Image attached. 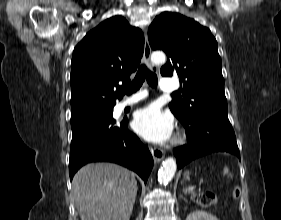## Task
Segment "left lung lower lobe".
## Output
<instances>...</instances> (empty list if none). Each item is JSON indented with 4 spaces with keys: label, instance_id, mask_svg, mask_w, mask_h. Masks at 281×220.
Wrapping results in <instances>:
<instances>
[{
    "label": "left lung lower lobe",
    "instance_id": "0a47b994",
    "mask_svg": "<svg viewBox=\"0 0 281 220\" xmlns=\"http://www.w3.org/2000/svg\"><path fill=\"white\" fill-rule=\"evenodd\" d=\"M179 120L185 127L188 142L173 150L178 168L213 152H229L240 158L235 133L227 115L211 112L192 120Z\"/></svg>",
    "mask_w": 281,
    "mask_h": 220
}]
</instances>
